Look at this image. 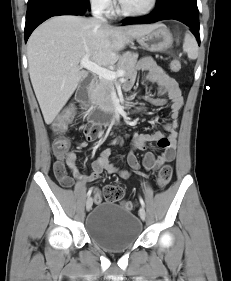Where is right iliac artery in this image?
Masks as SVG:
<instances>
[{
  "instance_id": "obj_1",
  "label": "right iliac artery",
  "mask_w": 231,
  "mask_h": 281,
  "mask_svg": "<svg viewBox=\"0 0 231 281\" xmlns=\"http://www.w3.org/2000/svg\"><path fill=\"white\" fill-rule=\"evenodd\" d=\"M91 193H92V188H90V189L88 190L87 196L89 197V196L91 195Z\"/></svg>"
}]
</instances>
